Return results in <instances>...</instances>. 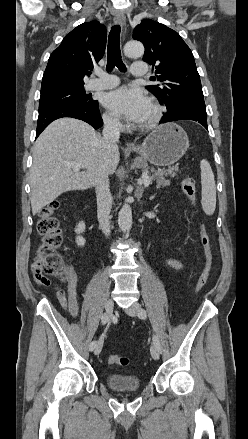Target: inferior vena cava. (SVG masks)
Instances as JSON below:
<instances>
[{
	"instance_id": "inferior-vena-cava-1",
	"label": "inferior vena cava",
	"mask_w": 248,
	"mask_h": 439,
	"mask_svg": "<svg viewBox=\"0 0 248 439\" xmlns=\"http://www.w3.org/2000/svg\"><path fill=\"white\" fill-rule=\"evenodd\" d=\"M120 121L116 117H106L104 119L103 140L110 147H117L120 136ZM109 174L104 173L95 182V192L97 198V215L102 232L108 236L111 232L110 211L111 193L109 189Z\"/></svg>"
}]
</instances>
